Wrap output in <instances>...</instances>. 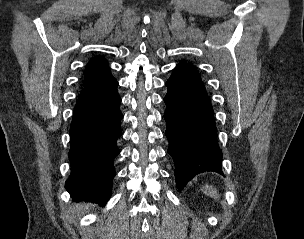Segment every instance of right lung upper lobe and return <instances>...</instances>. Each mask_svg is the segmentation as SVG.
<instances>
[{
	"label": "right lung upper lobe",
	"instance_id": "right-lung-upper-lobe-1",
	"mask_svg": "<svg viewBox=\"0 0 304 239\" xmlns=\"http://www.w3.org/2000/svg\"><path fill=\"white\" fill-rule=\"evenodd\" d=\"M110 68L107 61L102 57L94 58L86 69V74L84 78V86L90 84L91 82L97 80L105 73L109 72Z\"/></svg>",
	"mask_w": 304,
	"mask_h": 239
}]
</instances>
